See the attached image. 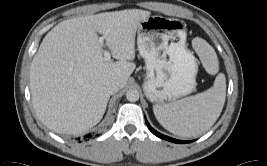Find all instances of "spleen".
Listing matches in <instances>:
<instances>
[{
	"label": "spleen",
	"instance_id": "spleen-1",
	"mask_svg": "<svg viewBox=\"0 0 267 166\" xmlns=\"http://www.w3.org/2000/svg\"><path fill=\"white\" fill-rule=\"evenodd\" d=\"M198 53L205 62L209 55L215 74L218 71V61L214 50L204 44ZM226 97V79L224 74H218L214 86L202 93L186 97L174 103L154 105L153 112L158 122L169 132L180 137H193L205 133L218 119L223 109Z\"/></svg>",
	"mask_w": 267,
	"mask_h": 166
}]
</instances>
